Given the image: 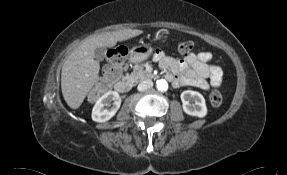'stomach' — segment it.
<instances>
[{"label": "stomach", "mask_w": 287, "mask_h": 175, "mask_svg": "<svg viewBox=\"0 0 287 175\" xmlns=\"http://www.w3.org/2000/svg\"><path fill=\"white\" fill-rule=\"evenodd\" d=\"M164 38L163 32H158L154 35L155 40H160ZM152 53V48L147 45L135 46L131 49L129 59L131 62L137 63L146 60Z\"/></svg>", "instance_id": "1"}]
</instances>
